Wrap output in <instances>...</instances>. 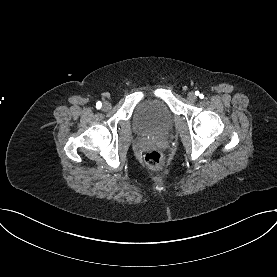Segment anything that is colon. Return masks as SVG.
Returning a JSON list of instances; mask_svg holds the SVG:
<instances>
[{"label": "colon", "instance_id": "1", "mask_svg": "<svg viewBox=\"0 0 277 277\" xmlns=\"http://www.w3.org/2000/svg\"><path fill=\"white\" fill-rule=\"evenodd\" d=\"M145 163L153 169H162L166 164L164 154L157 150L149 151L144 156Z\"/></svg>", "mask_w": 277, "mask_h": 277}]
</instances>
